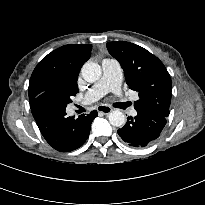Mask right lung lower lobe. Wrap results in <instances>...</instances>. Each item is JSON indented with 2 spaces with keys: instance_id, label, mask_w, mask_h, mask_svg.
Here are the masks:
<instances>
[{
  "instance_id": "98d812e1",
  "label": "right lung lower lobe",
  "mask_w": 205,
  "mask_h": 205,
  "mask_svg": "<svg viewBox=\"0 0 205 205\" xmlns=\"http://www.w3.org/2000/svg\"><path fill=\"white\" fill-rule=\"evenodd\" d=\"M67 98L57 90L42 93L30 102V108L39 130L54 149L69 152L82 146L89 137L94 110L78 119L66 116Z\"/></svg>"
}]
</instances>
